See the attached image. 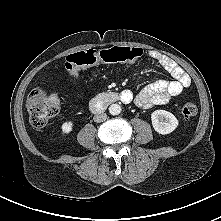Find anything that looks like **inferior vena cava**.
<instances>
[{
	"instance_id": "obj_1",
	"label": "inferior vena cava",
	"mask_w": 221,
	"mask_h": 221,
	"mask_svg": "<svg viewBox=\"0 0 221 221\" xmlns=\"http://www.w3.org/2000/svg\"><path fill=\"white\" fill-rule=\"evenodd\" d=\"M107 119V115L105 113L97 114L93 117V120L97 123L104 122Z\"/></svg>"
}]
</instances>
